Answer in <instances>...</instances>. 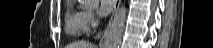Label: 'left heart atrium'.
Instances as JSON below:
<instances>
[{
    "instance_id": "left-heart-atrium-1",
    "label": "left heart atrium",
    "mask_w": 213,
    "mask_h": 48,
    "mask_svg": "<svg viewBox=\"0 0 213 48\" xmlns=\"http://www.w3.org/2000/svg\"><path fill=\"white\" fill-rule=\"evenodd\" d=\"M114 0H100L98 2V14L101 16H105L111 12L114 6Z\"/></svg>"
}]
</instances>
